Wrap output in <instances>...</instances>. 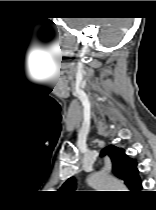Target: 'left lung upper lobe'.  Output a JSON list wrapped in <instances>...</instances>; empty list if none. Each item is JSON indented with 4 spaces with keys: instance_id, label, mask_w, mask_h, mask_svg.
<instances>
[{
    "instance_id": "left-lung-upper-lobe-1",
    "label": "left lung upper lobe",
    "mask_w": 156,
    "mask_h": 210,
    "mask_svg": "<svg viewBox=\"0 0 156 210\" xmlns=\"http://www.w3.org/2000/svg\"><path fill=\"white\" fill-rule=\"evenodd\" d=\"M108 155L112 161V171L115 176L122 179L132 191H139L142 188V181L139 177L137 162L125 154V150L114 145L107 146L101 152V156ZM76 189L74 178L68 179L60 188L62 191H73Z\"/></svg>"
}]
</instances>
